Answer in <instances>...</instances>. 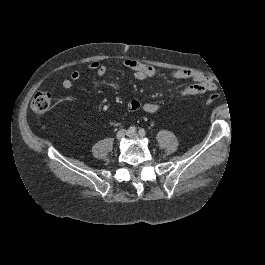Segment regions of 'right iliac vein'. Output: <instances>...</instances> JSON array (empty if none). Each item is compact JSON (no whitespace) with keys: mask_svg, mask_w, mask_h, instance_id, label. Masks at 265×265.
<instances>
[{"mask_svg":"<svg viewBox=\"0 0 265 265\" xmlns=\"http://www.w3.org/2000/svg\"><path fill=\"white\" fill-rule=\"evenodd\" d=\"M128 134V132L125 130V129H121V130H119L118 132H117V134H116V139L117 140H121V139H123L124 137H125V135H127Z\"/></svg>","mask_w":265,"mask_h":265,"instance_id":"63e3f726","label":"right iliac vein"}]
</instances>
